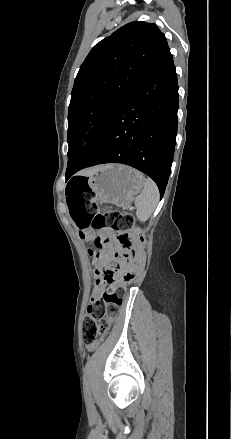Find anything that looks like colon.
Instances as JSON below:
<instances>
[{
    "mask_svg": "<svg viewBox=\"0 0 231 439\" xmlns=\"http://www.w3.org/2000/svg\"><path fill=\"white\" fill-rule=\"evenodd\" d=\"M66 197L71 216L82 234L86 230H94L97 232L96 242H102L108 240L107 234L102 231L112 228L120 246V251L113 257H106L103 278L108 287L89 305L83 322V341L86 345H93L108 333L119 312L125 287L135 280L142 267L145 238L130 214L117 210L98 212L92 201L94 192L86 180L71 181L66 188Z\"/></svg>",
    "mask_w": 231,
    "mask_h": 439,
    "instance_id": "5ec220e1",
    "label": "colon"
}]
</instances>
